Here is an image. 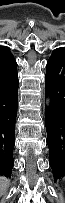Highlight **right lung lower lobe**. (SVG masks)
I'll return each mask as SVG.
<instances>
[{
	"label": "right lung lower lobe",
	"instance_id": "right-lung-lower-lobe-1",
	"mask_svg": "<svg viewBox=\"0 0 65 203\" xmlns=\"http://www.w3.org/2000/svg\"><path fill=\"white\" fill-rule=\"evenodd\" d=\"M17 100V66L9 70L0 69V175L6 177H11L14 165Z\"/></svg>",
	"mask_w": 65,
	"mask_h": 203
}]
</instances>
